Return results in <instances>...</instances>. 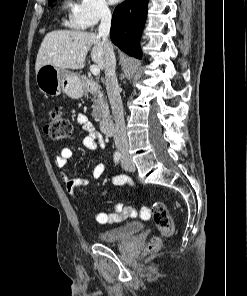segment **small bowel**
<instances>
[{
	"label": "small bowel",
	"instance_id": "c3829d8e",
	"mask_svg": "<svg viewBox=\"0 0 247 296\" xmlns=\"http://www.w3.org/2000/svg\"><path fill=\"white\" fill-rule=\"evenodd\" d=\"M77 122L86 132L85 137L83 138V145L92 151H96L99 148L98 144V133L97 129L89 118L85 114L77 115ZM72 152L69 148H63L61 152L54 157L55 166L59 169H63L68 160L70 159ZM105 171V165L103 163H97L93 170L91 176H78L70 177L65 172H61V178L65 183L66 191L71 195H75L76 188L80 186L89 185L93 179H97L103 175ZM111 183L114 187H120L125 184L134 186L133 181L126 175H116L112 177ZM143 212H148V209L143 208ZM135 215V210L131 207L124 206L121 202H115L112 205V212H96L94 214V219L97 223L101 225H112L117 223H122L127 220L129 217Z\"/></svg>",
	"mask_w": 247,
	"mask_h": 296
}]
</instances>
